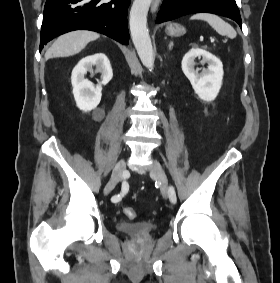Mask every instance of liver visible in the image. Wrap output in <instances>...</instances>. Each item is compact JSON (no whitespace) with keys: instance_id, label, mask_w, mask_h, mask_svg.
<instances>
[{"instance_id":"obj_1","label":"liver","mask_w":280,"mask_h":283,"mask_svg":"<svg viewBox=\"0 0 280 283\" xmlns=\"http://www.w3.org/2000/svg\"><path fill=\"white\" fill-rule=\"evenodd\" d=\"M100 37L99 33L87 30H78L66 33L53 43L45 54L46 59L67 57L83 50L90 41Z\"/></svg>"}]
</instances>
